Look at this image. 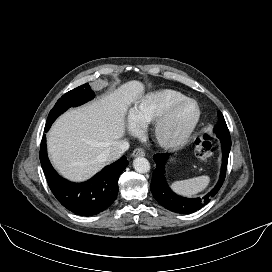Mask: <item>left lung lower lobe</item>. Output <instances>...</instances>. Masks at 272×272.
I'll return each mask as SVG.
<instances>
[{
  "mask_svg": "<svg viewBox=\"0 0 272 272\" xmlns=\"http://www.w3.org/2000/svg\"><path fill=\"white\" fill-rule=\"evenodd\" d=\"M221 146H222V166L220 178L216 186L209 193L199 198H184L175 194L168 186L165 177V162L168 159V154L154 155L156 169L153 172L150 188L155 199L164 208L180 214L193 213L201 209L206 204H208L221 188L226 175L228 157L231 148V141L230 142L221 141Z\"/></svg>",
  "mask_w": 272,
  "mask_h": 272,
  "instance_id": "0a47b994",
  "label": "left lung lower lobe"
}]
</instances>
